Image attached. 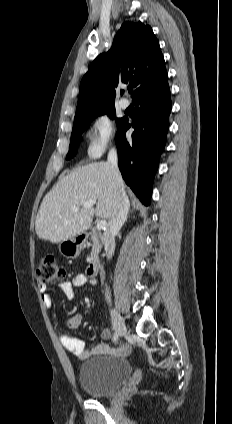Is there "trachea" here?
<instances>
[{"instance_id":"trachea-1","label":"trachea","mask_w":232,"mask_h":424,"mask_svg":"<svg viewBox=\"0 0 232 424\" xmlns=\"http://www.w3.org/2000/svg\"><path fill=\"white\" fill-rule=\"evenodd\" d=\"M133 91L132 87H128V92L131 93Z\"/></svg>"}]
</instances>
